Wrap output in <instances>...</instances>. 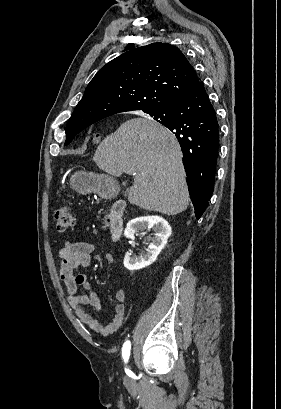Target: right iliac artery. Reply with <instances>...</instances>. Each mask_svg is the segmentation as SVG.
Instances as JSON below:
<instances>
[{"label":"right iliac artery","instance_id":"1","mask_svg":"<svg viewBox=\"0 0 281 409\" xmlns=\"http://www.w3.org/2000/svg\"><path fill=\"white\" fill-rule=\"evenodd\" d=\"M130 347H131V345H130L129 341L125 342L124 345H123L122 356H123V359H124L125 362H127L128 359H129Z\"/></svg>","mask_w":281,"mask_h":409}]
</instances>
